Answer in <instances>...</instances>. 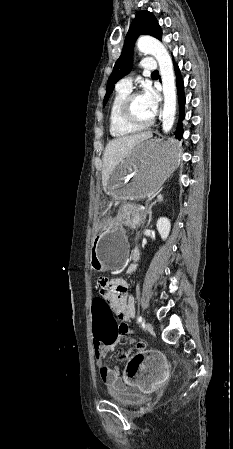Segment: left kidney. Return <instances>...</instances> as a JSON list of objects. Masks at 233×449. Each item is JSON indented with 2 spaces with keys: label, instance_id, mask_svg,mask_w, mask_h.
Masks as SVG:
<instances>
[{
  "label": "left kidney",
  "instance_id": "5707ae66",
  "mask_svg": "<svg viewBox=\"0 0 233 449\" xmlns=\"http://www.w3.org/2000/svg\"><path fill=\"white\" fill-rule=\"evenodd\" d=\"M156 227H157V230H158L161 238L164 240L168 237L169 232H170V228H171L170 220L165 217H161L158 219V221L156 223Z\"/></svg>",
  "mask_w": 233,
  "mask_h": 449
}]
</instances>
